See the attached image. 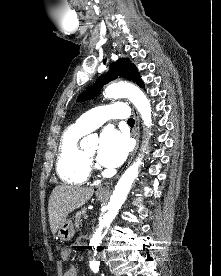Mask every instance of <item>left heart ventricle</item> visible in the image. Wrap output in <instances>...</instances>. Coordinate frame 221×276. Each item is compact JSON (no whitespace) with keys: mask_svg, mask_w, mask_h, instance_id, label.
Returning <instances> with one entry per match:
<instances>
[{"mask_svg":"<svg viewBox=\"0 0 221 276\" xmlns=\"http://www.w3.org/2000/svg\"><path fill=\"white\" fill-rule=\"evenodd\" d=\"M96 152H97V148L94 147V148H92L91 150L88 151V154H89L90 156H94V155L96 154Z\"/></svg>","mask_w":221,"mask_h":276,"instance_id":"left-heart-ventricle-1","label":"left heart ventricle"}]
</instances>
